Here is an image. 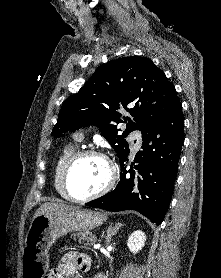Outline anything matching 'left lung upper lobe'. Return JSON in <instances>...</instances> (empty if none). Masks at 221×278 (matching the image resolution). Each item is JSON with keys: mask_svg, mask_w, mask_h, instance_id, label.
Instances as JSON below:
<instances>
[{"mask_svg": "<svg viewBox=\"0 0 221 278\" xmlns=\"http://www.w3.org/2000/svg\"><path fill=\"white\" fill-rule=\"evenodd\" d=\"M179 100L174 85L148 58L130 56L108 62L62 105L52 135L96 125L116 151L119 160L130 152L125 137L133 130L142 132L163 117ZM126 130L118 135L114 123H121L120 110Z\"/></svg>", "mask_w": 221, "mask_h": 278, "instance_id": "1", "label": "left lung upper lobe"}]
</instances>
